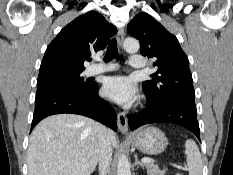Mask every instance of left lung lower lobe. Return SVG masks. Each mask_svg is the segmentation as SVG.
Segmentation results:
<instances>
[{"label": "left lung lower lobe", "instance_id": "0a47b994", "mask_svg": "<svg viewBox=\"0 0 233 175\" xmlns=\"http://www.w3.org/2000/svg\"><path fill=\"white\" fill-rule=\"evenodd\" d=\"M146 97V108L128 118L131 130L150 123H174L190 130L200 140L194 97L174 96L161 104H155L150 101L147 95Z\"/></svg>", "mask_w": 233, "mask_h": 175}]
</instances>
